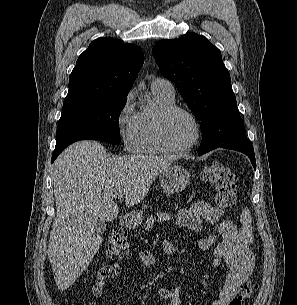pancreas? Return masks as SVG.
Here are the masks:
<instances>
[{"instance_id":"pancreas-1","label":"pancreas","mask_w":297,"mask_h":305,"mask_svg":"<svg viewBox=\"0 0 297 305\" xmlns=\"http://www.w3.org/2000/svg\"><path fill=\"white\" fill-rule=\"evenodd\" d=\"M158 220L163 221L168 218H170V215L166 212H158L157 213ZM156 221V218L153 215H150L147 217L145 230H150V228L153 226L154 222Z\"/></svg>"}]
</instances>
